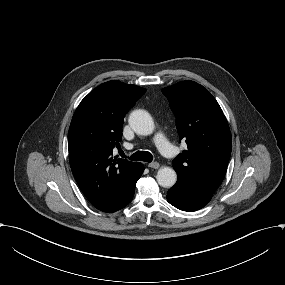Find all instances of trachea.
Wrapping results in <instances>:
<instances>
[{"mask_svg": "<svg viewBox=\"0 0 285 285\" xmlns=\"http://www.w3.org/2000/svg\"><path fill=\"white\" fill-rule=\"evenodd\" d=\"M121 157H127L128 159L132 161H145V162H152L153 156L148 151H137L133 153L131 156H127L123 151L120 152Z\"/></svg>", "mask_w": 285, "mask_h": 285, "instance_id": "trachea-1", "label": "trachea"}]
</instances>
